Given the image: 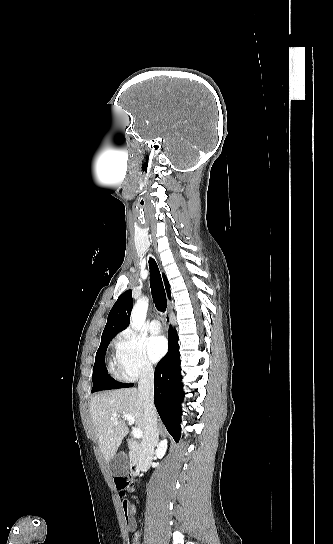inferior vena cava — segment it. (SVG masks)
<instances>
[{"label":"inferior vena cava","mask_w":333,"mask_h":544,"mask_svg":"<svg viewBox=\"0 0 333 544\" xmlns=\"http://www.w3.org/2000/svg\"><path fill=\"white\" fill-rule=\"evenodd\" d=\"M138 390L143 398L145 424L139 466L141 471H147L150 467L157 440V412L154 406V370L152 367L142 370Z\"/></svg>","instance_id":"1"}]
</instances>
